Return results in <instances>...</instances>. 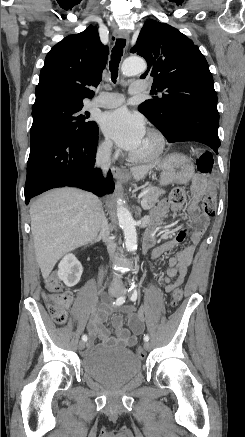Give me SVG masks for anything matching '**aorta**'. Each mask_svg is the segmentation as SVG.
Returning <instances> with one entry per match:
<instances>
[{
	"label": "aorta",
	"mask_w": 245,
	"mask_h": 437,
	"mask_svg": "<svg viewBox=\"0 0 245 437\" xmlns=\"http://www.w3.org/2000/svg\"><path fill=\"white\" fill-rule=\"evenodd\" d=\"M146 68V62L142 58L130 57L123 62L121 70L125 76H133L145 72ZM117 217L124 232L125 247L133 252L137 249L136 224L129 210L123 205L122 199L117 200Z\"/></svg>",
	"instance_id": "762f6f07"
}]
</instances>
